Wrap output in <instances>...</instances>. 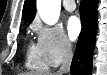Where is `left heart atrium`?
I'll return each mask as SVG.
<instances>
[{"label": "left heart atrium", "instance_id": "left-heart-atrium-1", "mask_svg": "<svg viewBox=\"0 0 107 75\" xmlns=\"http://www.w3.org/2000/svg\"><path fill=\"white\" fill-rule=\"evenodd\" d=\"M82 30V25L79 18L72 16L67 22V31L72 40L78 38Z\"/></svg>", "mask_w": 107, "mask_h": 75}]
</instances>
